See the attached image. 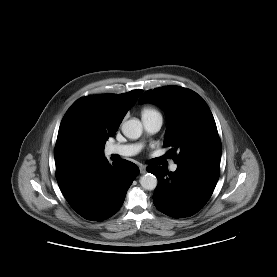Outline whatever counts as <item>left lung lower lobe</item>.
I'll return each instance as SVG.
<instances>
[{
    "label": "left lung lower lobe",
    "instance_id": "1",
    "mask_svg": "<svg viewBox=\"0 0 277 277\" xmlns=\"http://www.w3.org/2000/svg\"><path fill=\"white\" fill-rule=\"evenodd\" d=\"M175 172L161 166H149L147 171L158 179L153 195L156 208L174 217H189L209 200L220 173V159H199L177 164Z\"/></svg>",
    "mask_w": 277,
    "mask_h": 277
}]
</instances>
